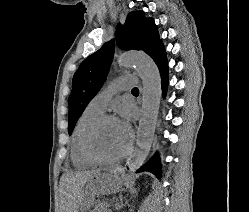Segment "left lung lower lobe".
Masks as SVG:
<instances>
[{
    "label": "left lung lower lobe",
    "mask_w": 249,
    "mask_h": 212,
    "mask_svg": "<svg viewBox=\"0 0 249 212\" xmlns=\"http://www.w3.org/2000/svg\"><path fill=\"white\" fill-rule=\"evenodd\" d=\"M162 78V91L165 95L168 86V62L166 58L165 49L161 50L156 57L153 58ZM149 171L156 175L157 178L161 177V164L159 157L155 155L148 163L141 167L137 172Z\"/></svg>",
    "instance_id": "0a47b994"
}]
</instances>
